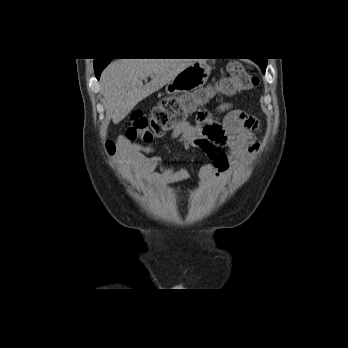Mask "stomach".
<instances>
[{"mask_svg": "<svg viewBox=\"0 0 348 348\" xmlns=\"http://www.w3.org/2000/svg\"><path fill=\"white\" fill-rule=\"evenodd\" d=\"M211 73V67L202 61H198L179 72L167 85L168 95L181 94L185 98L186 111L194 112L198 106L207 102V97L201 93V89L207 82Z\"/></svg>", "mask_w": 348, "mask_h": 348, "instance_id": "1", "label": "stomach"}]
</instances>
